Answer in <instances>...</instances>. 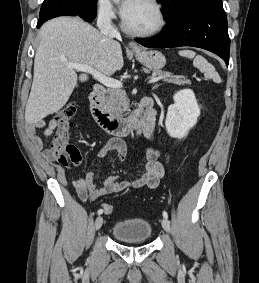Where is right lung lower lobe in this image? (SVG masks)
Listing matches in <instances>:
<instances>
[{
	"mask_svg": "<svg viewBox=\"0 0 259 283\" xmlns=\"http://www.w3.org/2000/svg\"><path fill=\"white\" fill-rule=\"evenodd\" d=\"M80 16L91 22L96 17V0H44L37 27L58 16Z\"/></svg>",
	"mask_w": 259,
	"mask_h": 283,
	"instance_id": "right-lung-lower-lobe-1",
	"label": "right lung lower lobe"
}]
</instances>
